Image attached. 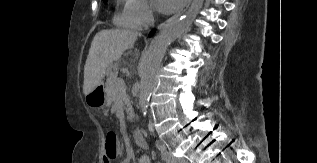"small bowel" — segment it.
I'll return each instance as SVG.
<instances>
[{"instance_id":"small-bowel-1","label":"small bowel","mask_w":317,"mask_h":163,"mask_svg":"<svg viewBox=\"0 0 317 163\" xmlns=\"http://www.w3.org/2000/svg\"><path fill=\"white\" fill-rule=\"evenodd\" d=\"M102 162L103 163H110V161L107 159V157H103L102 158ZM136 163H151V160H150V158L148 157V156H146V155H141V156H139L138 158H137V161H136Z\"/></svg>"}]
</instances>
